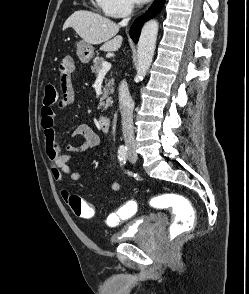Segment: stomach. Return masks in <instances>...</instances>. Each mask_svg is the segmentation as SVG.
<instances>
[{"mask_svg": "<svg viewBox=\"0 0 249 294\" xmlns=\"http://www.w3.org/2000/svg\"><path fill=\"white\" fill-rule=\"evenodd\" d=\"M77 55L79 60L86 64L92 59L94 55V47L89 43L80 41L77 44Z\"/></svg>", "mask_w": 249, "mask_h": 294, "instance_id": "1", "label": "stomach"}]
</instances>
